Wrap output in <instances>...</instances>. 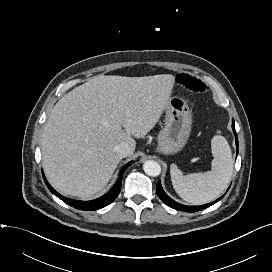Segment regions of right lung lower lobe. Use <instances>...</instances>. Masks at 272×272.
Instances as JSON below:
<instances>
[{"mask_svg":"<svg viewBox=\"0 0 272 272\" xmlns=\"http://www.w3.org/2000/svg\"><path fill=\"white\" fill-rule=\"evenodd\" d=\"M131 164L128 163L126 164L122 170H121V175L123 174V172L125 171V169ZM120 175L118 181L115 183V185L113 186V188L105 195H103L102 197L92 200V201H76V200H72L66 197H63L62 195H60L59 193H57L52 187L51 185L47 182L45 176L43 175L44 181L47 185V187L49 188V190L56 195L58 198H60L62 201H64L65 203H67L68 205L76 208V209H80V210H98L100 208H103L107 205H109L110 203H112L116 197L118 196L120 189H121V182H122V176Z\"/></svg>","mask_w":272,"mask_h":272,"instance_id":"obj_1","label":"right lung lower lobe"}]
</instances>
